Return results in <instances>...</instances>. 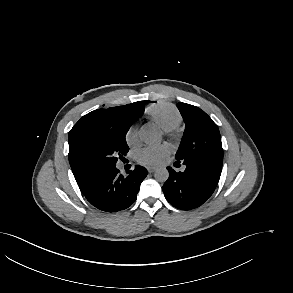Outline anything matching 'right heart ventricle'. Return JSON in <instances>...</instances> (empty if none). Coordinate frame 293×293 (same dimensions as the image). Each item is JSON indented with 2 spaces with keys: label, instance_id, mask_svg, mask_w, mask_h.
I'll return each instance as SVG.
<instances>
[{
  "label": "right heart ventricle",
  "instance_id": "1",
  "mask_svg": "<svg viewBox=\"0 0 293 293\" xmlns=\"http://www.w3.org/2000/svg\"><path fill=\"white\" fill-rule=\"evenodd\" d=\"M148 116L165 131L175 130L182 123L180 112L169 103L161 102L147 110Z\"/></svg>",
  "mask_w": 293,
  "mask_h": 293
}]
</instances>
